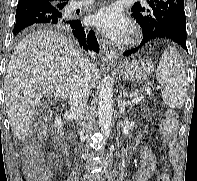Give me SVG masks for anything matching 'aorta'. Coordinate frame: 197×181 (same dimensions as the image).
<instances>
[{"label":"aorta","mask_w":197,"mask_h":181,"mask_svg":"<svg viewBox=\"0 0 197 181\" xmlns=\"http://www.w3.org/2000/svg\"><path fill=\"white\" fill-rule=\"evenodd\" d=\"M98 97V123L101 133L107 138L110 134L113 114V89L110 76H105L103 78Z\"/></svg>","instance_id":"762f6f07"}]
</instances>
